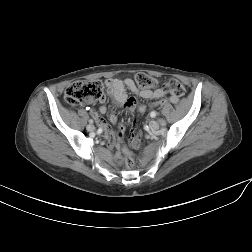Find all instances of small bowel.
<instances>
[{
	"instance_id": "c3829d8e",
	"label": "small bowel",
	"mask_w": 252,
	"mask_h": 252,
	"mask_svg": "<svg viewBox=\"0 0 252 252\" xmlns=\"http://www.w3.org/2000/svg\"><path fill=\"white\" fill-rule=\"evenodd\" d=\"M105 85L108 91V94L112 97L113 101L116 104L123 106L125 109L129 111H138L140 113H144L146 111V106L143 104H139L137 99L133 96H129L127 94V90L139 95L144 99H160L166 96V92L163 89H139L133 79L127 78L125 80L117 79V78H109L105 80ZM101 100H104L101 99ZM176 104L179 102V98L173 95H170L163 99L162 104L166 103ZM88 104H91V101H88ZM107 112V108L105 106H101L99 112L94 109H90V115L97 121V123L107 129V141H108V149H117L125 151L124 147V124L120 123V130L115 136L113 132H111L108 128L107 123L100 118L99 113L105 114ZM109 120L111 124L115 125L118 122V116L116 112H112L109 116ZM113 159L115 161H119L120 155L119 152H116L113 155Z\"/></svg>"
}]
</instances>
